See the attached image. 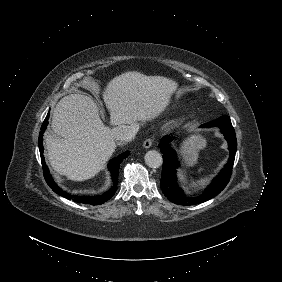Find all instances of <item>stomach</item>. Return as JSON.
I'll use <instances>...</instances> for the list:
<instances>
[{
    "label": "stomach",
    "mask_w": 282,
    "mask_h": 282,
    "mask_svg": "<svg viewBox=\"0 0 282 282\" xmlns=\"http://www.w3.org/2000/svg\"><path fill=\"white\" fill-rule=\"evenodd\" d=\"M205 147L206 139L199 134L186 138L180 148L184 162L189 166L196 164L199 151Z\"/></svg>",
    "instance_id": "0dacf381"
}]
</instances>
